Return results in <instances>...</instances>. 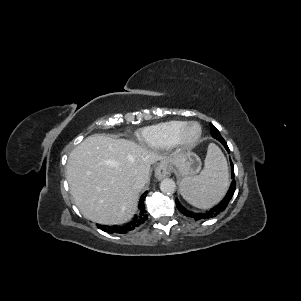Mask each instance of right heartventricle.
Listing matches in <instances>:
<instances>
[{
  "instance_id": "right-heart-ventricle-1",
  "label": "right heart ventricle",
  "mask_w": 301,
  "mask_h": 301,
  "mask_svg": "<svg viewBox=\"0 0 301 301\" xmlns=\"http://www.w3.org/2000/svg\"><path fill=\"white\" fill-rule=\"evenodd\" d=\"M186 121L171 120L143 128L138 134V140L144 146L161 149L172 146Z\"/></svg>"
}]
</instances>
